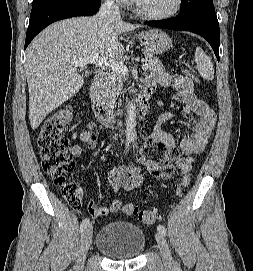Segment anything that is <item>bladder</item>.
<instances>
[{
    "mask_svg": "<svg viewBox=\"0 0 253 271\" xmlns=\"http://www.w3.org/2000/svg\"><path fill=\"white\" fill-rule=\"evenodd\" d=\"M146 237L142 229L131 222L114 221L99 231L95 246L111 260H129L141 255Z\"/></svg>",
    "mask_w": 253,
    "mask_h": 271,
    "instance_id": "1",
    "label": "bladder"
}]
</instances>
